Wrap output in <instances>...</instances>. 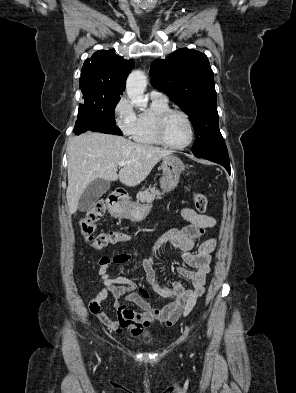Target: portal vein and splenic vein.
Segmentation results:
<instances>
[{"instance_id":"obj_1","label":"portal vein and splenic vein","mask_w":296,"mask_h":393,"mask_svg":"<svg viewBox=\"0 0 296 393\" xmlns=\"http://www.w3.org/2000/svg\"><path fill=\"white\" fill-rule=\"evenodd\" d=\"M127 163H128V162H126V161H120L118 165H119L120 167H123V166H125Z\"/></svg>"}]
</instances>
